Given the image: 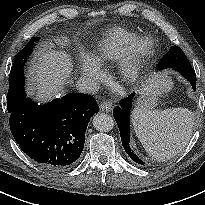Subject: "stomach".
Listing matches in <instances>:
<instances>
[{
  "mask_svg": "<svg viewBox=\"0 0 205 205\" xmlns=\"http://www.w3.org/2000/svg\"><path fill=\"white\" fill-rule=\"evenodd\" d=\"M166 91L164 85L159 84L150 91H141L139 98L136 100L135 109L152 111L159 104V97Z\"/></svg>",
  "mask_w": 205,
  "mask_h": 205,
  "instance_id": "0dacf381",
  "label": "stomach"
}]
</instances>
